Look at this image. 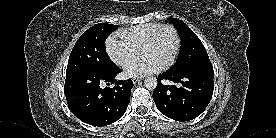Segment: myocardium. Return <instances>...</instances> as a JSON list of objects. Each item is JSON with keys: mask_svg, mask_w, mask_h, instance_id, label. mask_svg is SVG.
<instances>
[{"mask_svg": "<svg viewBox=\"0 0 276 138\" xmlns=\"http://www.w3.org/2000/svg\"><path fill=\"white\" fill-rule=\"evenodd\" d=\"M164 31H170L173 34L174 37V41H175V46H174V50L172 55L170 56V58L162 65L163 69L169 68L176 60L179 50H180V46H181V38L180 35L177 31V29L170 24H166V25H162L160 28H158L142 45L141 48H145L147 46L153 45L154 43L157 42V40L159 39L160 35L164 32Z\"/></svg>", "mask_w": 276, "mask_h": 138, "instance_id": "f54148a6", "label": "myocardium"}]
</instances>
